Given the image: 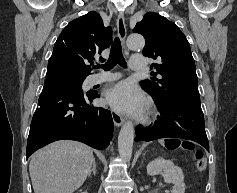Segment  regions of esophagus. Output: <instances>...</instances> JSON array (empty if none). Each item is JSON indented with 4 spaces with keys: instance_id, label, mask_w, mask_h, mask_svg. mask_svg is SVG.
I'll return each mask as SVG.
<instances>
[{
    "instance_id": "obj_1",
    "label": "esophagus",
    "mask_w": 237,
    "mask_h": 193,
    "mask_svg": "<svg viewBox=\"0 0 237 193\" xmlns=\"http://www.w3.org/2000/svg\"><path fill=\"white\" fill-rule=\"evenodd\" d=\"M117 31H118V36L123 46L125 47L127 30H126L124 15L122 13H119L117 17ZM111 114H112V119L115 126L120 127L124 123V118L115 110H112Z\"/></svg>"
}]
</instances>
